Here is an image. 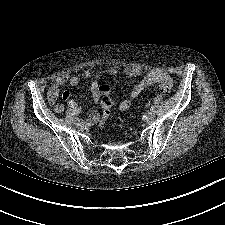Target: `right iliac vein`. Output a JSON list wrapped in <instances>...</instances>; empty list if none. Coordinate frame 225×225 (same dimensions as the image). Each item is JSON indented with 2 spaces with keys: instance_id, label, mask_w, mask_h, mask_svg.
Instances as JSON below:
<instances>
[{
  "instance_id": "63e3f726",
  "label": "right iliac vein",
  "mask_w": 225,
  "mask_h": 225,
  "mask_svg": "<svg viewBox=\"0 0 225 225\" xmlns=\"http://www.w3.org/2000/svg\"><path fill=\"white\" fill-rule=\"evenodd\" d=\"M76 125H77L78 127H83V126H84V123H83L82 121H78V122L76 123Z\"/></svg>"
}]
</instances>
